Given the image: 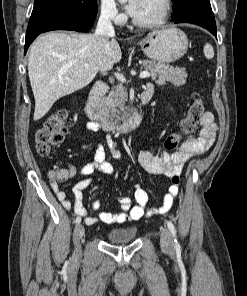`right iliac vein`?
<instances>
[{"instance_id": "63e3f726", "label": "right iliac vein", "mask_w": 247, "mask_h": 296, "mask_svg": "<svg viewBox=\"0 0 247 296\" xmlns=\"http://www.w3.org/2000/svg\"><path fill=\"white\" fill-rule=\"evenodd\" d=\"M84 232H85L84 227H83V225H81V224H78V225L76 226L75 230H74V236H73V238H74V243H75V246H76V247H75V254H76L77 256H79L80 253H81L79 243H80V239H81V238L83 237V235H84Z\"/></svg>"}]
</instances>
